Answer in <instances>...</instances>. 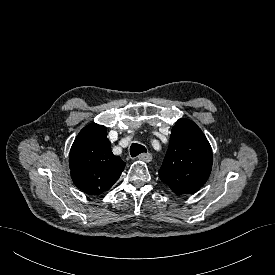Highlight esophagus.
<instances>
[{
    "instance_id": "1",
    "label": "esophagus",
    "mask_w": 275,
    "mask_h": 275,
    "mask_svg": "<svg viewBox=\"0 0 275 275\" xmlns=\"http://www.w3.org/2000/svg\"><path fill=\"white\" fill-rule=\"evenodd\" d=\"M138 159L144 162H150L152 160V154L149 152L142 153L138 156Z\"/></svg>"
}]
</instances>
